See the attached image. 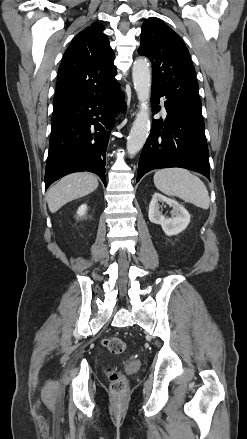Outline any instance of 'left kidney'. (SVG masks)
<instances>
[{
	"mask_svg": "<svg viewBox=\"0 0 247 439\" xmlns=\"http://www.w3.org/2000/svg\"><path fill=\"white\" fill-rule=\"evenodd\" d=\"M161 202H165L173 208L171 217L162 215L159 204ZM148 216L152 223L160 224L162 230L168 236L181 233L190 223V214L181 204L157 192L154 193L150 202Z\"/></svg>",
	"mask_w": 247,
	"mask_h": 439,
	"instance_id": "left-kidney-1",
	"label": "left kidney"
}]
</instances>
